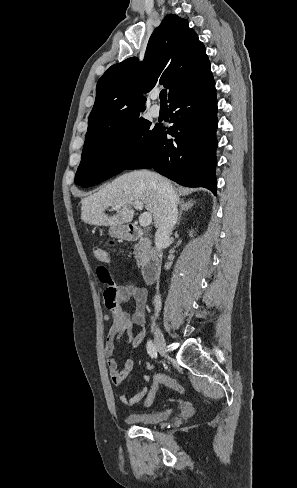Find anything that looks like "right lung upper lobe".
Returning a JSON list of instances; mask_svg holds the SVG:
<instances>
[{
    "instance_id": "1",
    "label": "right lung upper lobe",
    "mask_w": 297,
    "mask_h": 488,
    "mask_svg": "<svg viewBox=\"0 0 297 488\" xmlns=\"http://www.w3.org/2000/svg\"><path fill=\"white\" fill-rule=\"evenodd\" d=\"M205 47L186 19L170 14L151 35L143 62L136 57L112 65L99 79L87 137L140 118L145 97L157 83L169 89L170 103L211 75Z\"/></svg>"
}]
</instances>
